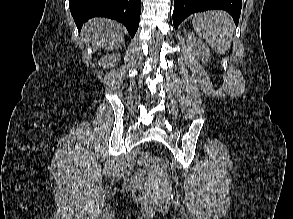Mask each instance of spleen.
I'll use <instances>...</instances> for the list:
<instances>
[{"mask_svg": "<svg viewBox=\"0 0 293 219\" xmlns=\"http://www.w3.org/2000/svg\"><path fill=\"white\" fill-rule=\"evenodd\" d=\"M193 28L216 52L225 53L231 46L234 21L225 11H208L193 16Z\"/></svg>", "mask_w": 293, "mask_h": 219, "instance_id": "obj_1", "label": "spleen"}]
</instances>
